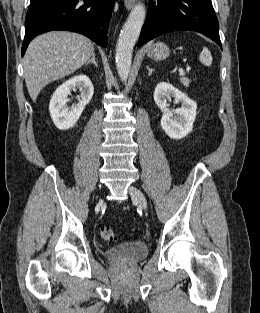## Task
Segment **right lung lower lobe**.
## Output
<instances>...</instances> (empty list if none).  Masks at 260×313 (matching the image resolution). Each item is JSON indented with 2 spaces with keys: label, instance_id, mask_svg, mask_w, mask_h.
I'll use <instances>...</instances> for the list:
<instances>
[{
  "label": "right lung lower lobe",
  "instance_id": "1",
  "mask_svg": "<svg viewBox=\"0 0 260 313\" xmlns=\"http://www.w3.org/2000/svg\"><path fill=\"white\" fill-rule=\"evenodd\" d=\"M114 0H31L25 19L24 55L30 41L52 30L81 33L107 46V30Z\"/></svg>",
  "mask_w": 260,
  "mask_h": 313
}]
</instances>
